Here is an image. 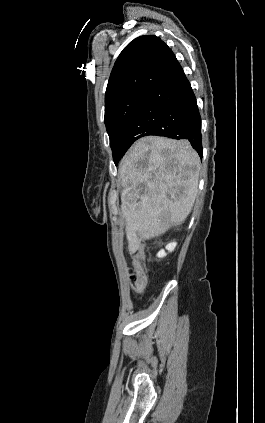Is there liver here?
Listing matches in <instances>:
<instances>
[{"label":"liver","mask_w":265,"mask_h":423,"mask_svg":"<svg viewBox=\"0 0 265 423\" xmlns=\"http://www.w3.org/2000/svg\"><path fill=\"white\" fill-rule=\"evenodd\" d=\"M199 171L200 158L187 140L143 137L124 155L118 173L130 254L142 239L185 221L198 193Z\"/></svg>","instance_id":"1"}]
</instances>
